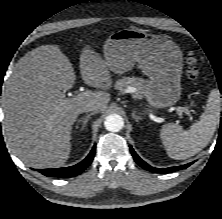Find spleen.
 Instances as JSON below:
<instances>
[{
    "mask_svg": "<svg viewBox=\"0 0 222 219\" xmlns=\"http://www.w3.org/2000/svg\"><path fill=\"white\" fill-rule=\"evenodd\" d=\"M221 98L218 89H213L208 97L206 109L200 120L189 130L174 123L165 124L161 129V139L169 157L187 159L200 152L210 141L220 121Z\"/></svg>",
    "mask_w": 222,
    "mask_h": 219,
    "instance_id": "obj_1",
    "label": "spleen"
}]
</instances>
